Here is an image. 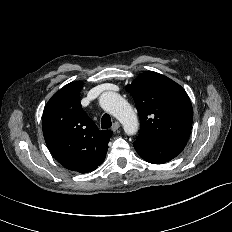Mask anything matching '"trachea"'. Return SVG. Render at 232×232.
<instances>
[{
	"instance_id": "1",
	"label": "trachea",
	"mask_w": 232,
	"mask_h": 232,
	"mask_svg": "<svg viewBox=\"0 0 232 232\" xmlns=\"http://www.w3.org/2000/svg\"><path fill=\"white\" fill-rule=\"evenodd\" d=\"M112 126L111 117L108 114H104L101 119V128L108 129Z\"/></svg>"
}]
</instances>
